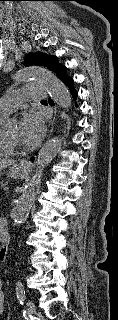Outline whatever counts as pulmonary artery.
<instances>
[{"mask_svg":"<svg viewBox=\"0 0 118 320\" xmlns=\"http://www.w3.org/2000/svg\"><path fill=\"white\" fill-rule=\"evenodd\" d=\"M43 89L42 84L31 83L21 90L12 91L9 95L0 99V113L7 116L25 101H41L44 99Z\"/></svg>","mask_w":118,"mask_h":320,"instance_id":"obj_1","label":"pulmonary artery"}]
</instances>
